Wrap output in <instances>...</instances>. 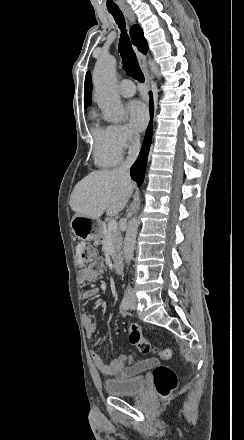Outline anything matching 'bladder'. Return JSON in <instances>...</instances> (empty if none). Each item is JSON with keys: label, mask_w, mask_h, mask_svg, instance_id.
<instances>
[{"label": "bladder", "mask_w": 244, "mask_h": 440, "mask_svg": "<svg viewBox=\"0 0 244 440\" xmlns=\"http://www.w3.org/2000/svg\"><path fill=\"white\" fill-rule=\"evenodd\" d=\"M106 393L111 395H136L145 389L144 377H133L130 380H113L105 382Z\"/></svg>", "instance_id": "bladder-1"}]
</instances>
